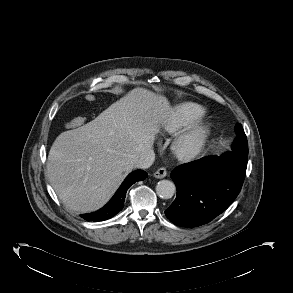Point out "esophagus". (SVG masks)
<instances>
[{
  "label": "esophagus",
  "instance_id": "1",
  "mask_svg": "<svg viewBox=\"0 0 293 293\" xmlns=\"http://www.w3.org/2000/svg\"><path fill=\"white\" fill-rule=\"evenodd\" d=\"M166 175H167V170L164 167L159 168L153 174V176L158 179H162L166 177Z\"/></svg>",
  "mask_w": 293,
  "mask_h": 293
}]
</instances>
